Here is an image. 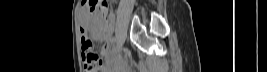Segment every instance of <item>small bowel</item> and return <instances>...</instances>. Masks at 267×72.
Returning <instances> with one entry per match:
<instances>
[{"mask_svg":"<svg viewBox=\"0 0 267 72\" xmlns=\"http://www.w3.org/2000/svg\"><path fill=\"white\" fill-rule=\"evenodd\" d=\"M94 24L96 25L97 37L104 40V44L100 52L101 57H99L98 62L99 69H97L95 72L105 71L107 69L105 59L109 57L110 51V32L112 31L114 25L113 17L110 16V18L106 20H96ZM81 32V40L83 42V40L86 38V33L85 30H82Z\"/></svg>","mask_w":267,"mask_h":72,"instance_id":"small-bowel-1","label":"small bowel"}]
</instances>
